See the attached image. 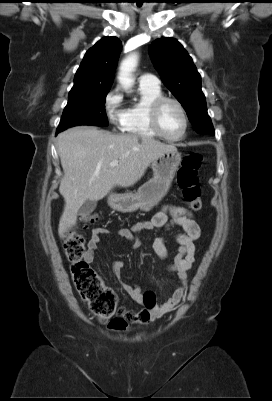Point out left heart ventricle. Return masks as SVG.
<instances>
[{"label":"left heart ventricle","instance_id":"b2bd125f","mask_svg":"<svg viewBox=\"0 0 272 401\" xmlns=\"http://www.w3.org/2000/svg\"><path fill=\"white\" fill-rule=\"evenodd\" d=\"M160 124L163 131L170 137H178L182 134L184 120L175 104L168 103L164 106L160 115Z\"/></svg>","mask_w":272,"mask_h":401}]
</instances>
